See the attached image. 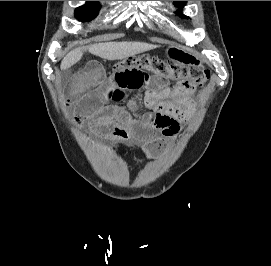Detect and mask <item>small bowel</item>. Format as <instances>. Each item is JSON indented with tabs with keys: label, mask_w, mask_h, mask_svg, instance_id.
Returning <instances> with one entry per match:
<instances>
[{
	"label": "small bowel",
	"mask_w": 271,
	"mask_h": 266,
	"mask_svg": "<svg viewBox=\"0 0 271 266\" xmlns=\"http://www.w3.org/2000/svg\"><path fill=\"white\" fill-rule=\"evenodd\" d=\"M144 91L148 113L136 114V101H121L128 92ZM65 101L73 109L74 121L87 126L95 136L113 141H131L157 153L162 137L175 135L180 123L192 117L196 103L191 91L179 85L170 87L165 77L131 67L107 74L97 61L71 72L66 86ZM113 148L115 146L113 145Z\"/></svg>",
	"instance_id": "small-bowel-1"
}]
</instances>
